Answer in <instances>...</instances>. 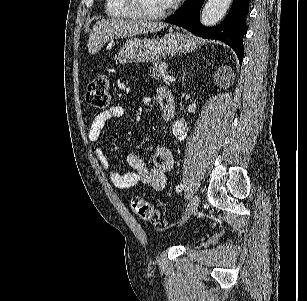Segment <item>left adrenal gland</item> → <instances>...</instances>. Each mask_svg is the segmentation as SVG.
<instances>
[{"mask_svg":"<svg viewBox=\"0 0 307 301\" xmlns=\"http://www.w3.org/2000/svg\"><path fill=\"white\" fill-rule=\"evenodd\" d=\"M184 78H185V70H183V78H182V80H184Z\"/></svg>","mask_w":307,"mask_h":301,"instance_id":"a2214340","label":"left adrenal gland"}]
</instances>
